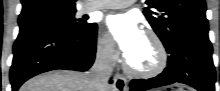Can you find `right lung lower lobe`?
<instances>
[{"label":"right lung lower lobe","mask_w":220,"mask_h":91,"mask_svg":"<svg viewBox=\"0 0 220 91\" xmlns=\"http://www.w3.org/2000/svg\"><path fill=\"white\" fill-rule=\"evenodd\" d=\"M96 35L97 29L90 36L76 38L45 25L20 26L10 70L12 91L50 70L86 71L95 59Z\"/></svg>","instance_id":"98d812e1"}]
</instances>
